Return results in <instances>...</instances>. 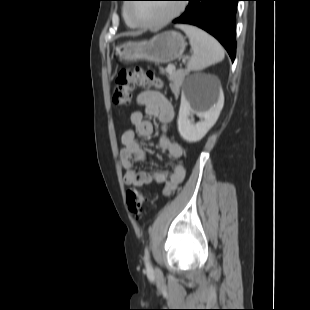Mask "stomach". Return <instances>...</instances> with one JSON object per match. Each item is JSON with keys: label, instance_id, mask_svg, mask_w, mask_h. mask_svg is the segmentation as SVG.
I'll use <instances>...</instances> for the list:
<instances>
[{"label": "stomach", "instance_id": "stomach-1", "mask_svg": "<svg viewBox=\"0 0 310 310\" xmlns=\"http://www.w3.org/2000/svg\"><path fill=\"white\" fill-rule=\"evenodd\" d=\"M186 45L182 34L168 31L154 36L149 41H129L120 44L115 50L121 61L146 60L155 64H165L181 57Z\"/></svg>", "mask_w": 310, "mask_h": 310}]
</instances>
